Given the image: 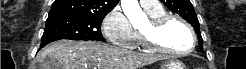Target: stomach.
Instances as JSON below:
<instances>
[{
	"mask_svg": "<svg viewBox=\"0 0 246 69\" xmlns=\"http://www.w3.org/2000/svg\"><path fill=\"white\" fill-rule=\"evenodd\" d=\"M160 69H185L184 65L176 60L164 61Z\"/></svg>",
	"mask_w": 246,
	"mask_h": 69,
	"instance_id": "1",
	"label": "stomach"
}]
</instances>
